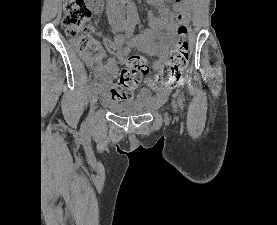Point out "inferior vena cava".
Returning <instances> with one entry per match:
<instances>
[{"label": "inferior vena cava", "mask_w": 277, "mask_h": 225, "mask_svg": "<svg viewBox=\"0 0 277 225\" xmlns=\"http://www.w3.org/2000/svg\"><path fill=\"white\" fill-rule=\"evenodd\" d=\"M108 3V7L109 8H115V9H120V5H119V1L118 0H107ZM119 18L122 21V23L124 24L125 20H124V16L123 14H119Z\"/></svg>", "instance_id": "obj_1"}]
</instances>
